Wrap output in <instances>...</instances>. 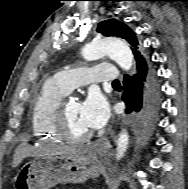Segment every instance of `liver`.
<instances>
[{"instance_id": "obj_1", "label": "liver", "mask_w": 188, "mask_h": 189, "mask_svg": "<svg viewBox=\"0 0 188 189\" xmlns=\"http://www.w3.org/2000/svg\"><path fill=\"white\" fill-rule=\"evenodd\" d=\"M84 151L72 146L53 145L34 148L21 144L15 150L12 166L17 167L26 156H58V155H81Z\"/></svg>"}]
</instances>
